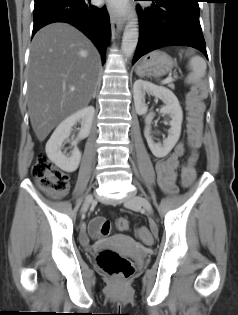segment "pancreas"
<instances>
[{"instance_id":"1","label":"pancreas","mask_w":238,"mask_h":315,"mask_svg":"<svg viewBox=\"0 0 238 315\" xmlns=\"http://www.w3.org/2000/svg\"><path fill=\"white\" fill-rule=\"evenodd\" d=\"M169 87H170V88H172V89L174 88V86H173V85H169Z\"/></svg>"}]
</instances>
